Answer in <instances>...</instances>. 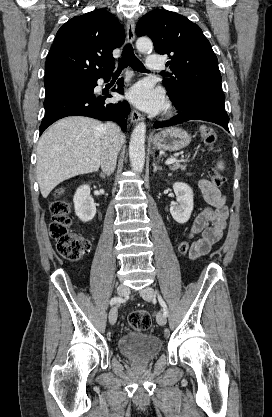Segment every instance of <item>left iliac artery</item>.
<instances>
[{
  "mask_svg": "<svg viewBox=\"0 0 272 417\" xmlns=\"http://www.w3.org/2000/svg\"><path fill=\"white\" fill-rule=\"evenodd\" d=\"M156 294H157V297H158V301L163 308V314H164L165 317H167L168 316L167 305H166L165 301L163 300V298L161 297V295L158 292H156Z\"/></svg>",
  "mask_w": 272,
  "mask_h": 417,
  "instance_id": "obj_1",
  "label": "left iliac artery"
}]
</instances>
